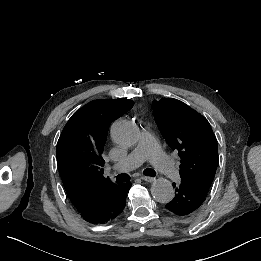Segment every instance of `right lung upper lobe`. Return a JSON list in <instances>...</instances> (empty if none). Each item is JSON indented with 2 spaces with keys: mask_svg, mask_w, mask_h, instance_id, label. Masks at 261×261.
Returning <instances> with one entry per match:
<instances>
[{
  "mask_svg": "<svg viewBox=\"0 0 261 261\" xmlns=\"http://www.w3.org/2000/svg\"><path fill=\"white\" fill-rule=\"evenodd\" d=\"M134 105L127 99H99L76 111L57 143V161L66 193L78 210L97 191L114 183L104 178L102 152L111 122Z\"/></svg>",
  "mask_w": 261,
  "mask_h": 261,
  "instance_id": "cb5924a9",
  "label": "right lung upper lobe"
}]
</instances>
